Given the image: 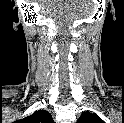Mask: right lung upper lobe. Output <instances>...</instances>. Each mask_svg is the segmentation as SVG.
I'll return each mask as SVG.
<instances>
[{"label":"right lung upper lobe","instance_id":"cb5924a9","mask_svg":"<svg viewBox=\"0 0 124 123\" xmlns=\"http://www.w3.org/2000/svg\"><path fill=\"white\" fill-rule=\"evenodd\" d=\"M18 122L21 123H54L52 115L46 110L35 111L30 116H27Z\"/></svg>","mask_w":124,"mask_h":123}]
</instances>
